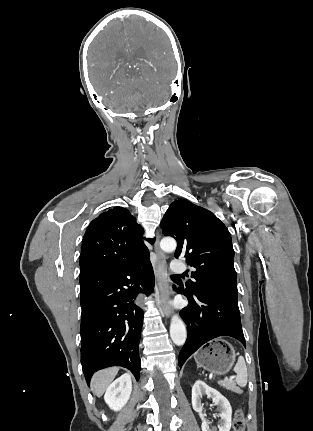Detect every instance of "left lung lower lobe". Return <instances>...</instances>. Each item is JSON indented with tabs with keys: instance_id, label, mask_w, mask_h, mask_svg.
<instances>
[{
	"instance_id": "obj_1",
	"label": "left lung lower lobe",
	"mask_w": 313,
	"mask_h": 431,
	"mask_svg": "<svg viewBox=\"0 0 313 431\" xmlns=\"http://www.w3.org/2000/svg\"><path fill=\"white\" fill-rule=\"evenodd\" d=\"M178 293L189 301L180 312L188 329L187 340L179 354L180 367L199 347L219 336L234 337L245 346L237 299L215 294L189 296L182 289H178Z\"/></svg>"
}]
</instances>
